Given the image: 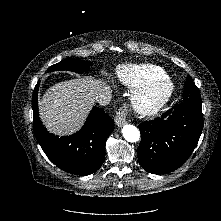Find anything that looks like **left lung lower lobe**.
I'll return each mask as SVG.
<instances>
[{
  "label": "left lung lower lobe",
  "instance_id": "1",
  "mask_svg": "<svg viewBox=\"0 0 221 221\" xmlns=\"http://www.w3.org/2000/svg\"><path fill=\"white\" fill-rule=\"evenodd\" d=\"M202 128V103L176 104L161 117L140 123V165L153 174H165L176 170L193 152Z\"/></svg>",
  "mask_w": 221,
  "mask_h": 221
}]
</instances>
